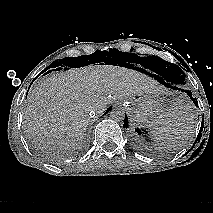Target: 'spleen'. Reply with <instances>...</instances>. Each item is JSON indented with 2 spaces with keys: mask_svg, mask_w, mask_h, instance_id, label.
<instances>
[{
  "mask_svg": "<svg viewBox=\"0 0 213 213\" xmlns=\"http://www.w3.org/2000/svg\"><path fill=\"white\" fill-rule=\"evenodd\" d=\"M193 118L191 103H175L157 118L158 125L150 131L155 145L164 149L183 145L193 128Z\"/></svg>",
  "mask_w": 213,
  "mask_h": 213,
  "instance_id": "3e777b00",
  "label": "spleen"
}]
</instances>
